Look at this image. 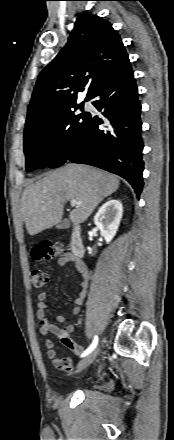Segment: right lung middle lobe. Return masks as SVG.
Segmentation results:
<instances>
[{
  "mask_svg": "<svg viewBox=\"0 0 174 440\" xmlns=\"http://www.w3.org/2000/svg\"><path fill=\"white\" fill-rule=\"evenodd\" d=\"M71 108L83 109V103ZM71 108L24 132L28 172L59 167L66 161L73 144L84 131L89 114L82 112L76 115Z\"/></svg>",
  "mask_w": 174,
  "mask_h": 440,
  "instance_id": "dd1d6c3e",
  "label": "right lung middle lobe"
}]
</instances>
